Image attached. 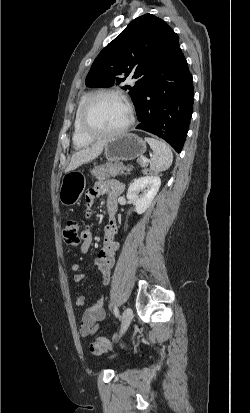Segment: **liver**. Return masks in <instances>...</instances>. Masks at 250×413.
I'll use <instances>...</instances> for the list:
<instances>
[{
	"label": "liver",
	"instance_id": "1",
	"mask_svg": "<svg viewBox=\"0 0 250 413\" xmlns=\"http://www.w3.org/2000/svg\"><path fill=\"white\" fill-rule=\"evenodd\" d=\"M105 144L106 141H98L94 143L91 147H86L73 153L70 163L67 166L65 172H71L79 166L86 164L97 158L102 153Z\"/></svg>",
	"mask_w": 250,
	"mask_h": 413
}]
</instances>
